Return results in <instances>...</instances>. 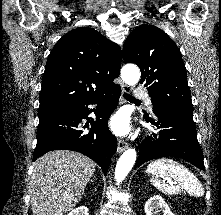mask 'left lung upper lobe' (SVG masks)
<instances>
[{
  "label": "left lung upper lobe",
  "instance_id": "1",
  "mask_svg": "<svg viewBox=\"0 0 221 215\" xmlns=\"http://www.w3.org/2000/svg\"><path fill=\"white\" fill-rule=\"evenodd\" d=\"M123 59L140 68V84L147 87L153 110L193 113L180 50L164 31L147 24L135 28L125 41Z\"/></svg>",
  "mask_w": 221,
  "mask_h": 215
}]
</instances>
